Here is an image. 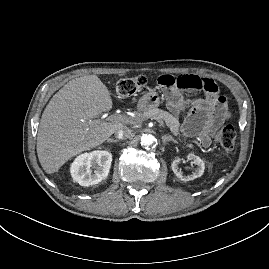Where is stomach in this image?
<instances>
[{
	"instance_id": "obj_1",
	"label": "stomach",
	"mask_w": 269,
	"mask_h": 269,
	"mask_svg": "<svg viewBox=\"0 0 269 269\" xmlns=\"http://www.w3.org/2000/svg\"><path fill=\"white\" fill-rule=\"evenodd\" d=\"M160 105V96L155 90L147 92L139 101V108L142 111L155 109Z\"/></svg>"
}]
</instances>
